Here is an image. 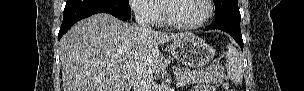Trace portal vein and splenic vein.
<instances>
[{
  "mask_svg": "<svg viewBox=\"0 0 304 91\" xmlns=\"http://www.w3.org/2000/svg\"><path fill=\"white\" fill-rule=\"evenodd\" d=\"M177 85H178V86L182 85V82H181V81H179V82L177 83Z\"/></svg>",
  "mask_w": 304,
  "mask_h": 91,
  "instance_id": "portal-vein-and-splenic-vein-1",
  "label": "portal vein and splenic vein"
}]
</instances>
